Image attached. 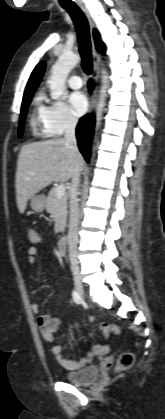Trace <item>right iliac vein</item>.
Listing matches in <instances>:
<instances>
[{"label":"right iliac vein","instance_id":"obj_1","mask_svg":"<svg viewBox=\"0 0 165 419\" xmlns=\"http://www.w3.org/2000/svg\"><path fill=\"white\" fill-rule=\"evenodd\" d=\"M75 286H76V289H77L78 293L81 296H84V289H83L82 283L79 279L75 280Z\"/></svg>","mask_w":165,"mask_h":419}]
</instances>
